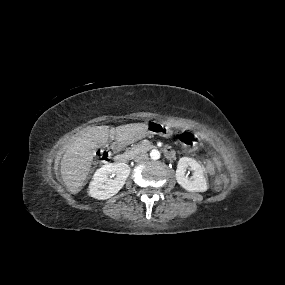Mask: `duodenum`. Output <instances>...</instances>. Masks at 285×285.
Wrapping results in <instances>:
<instances>
[{
  "label": "duodenum",
  "mask_w": 285,
  "mask_h": 285,
  "mask_svg": "<svg viewBox=\"0 0 285 285\" xmlns=\"http://www.w3.org/2000/svg\"><path fill=\"white\" fill-rule=\"evenodd\" d=\"M123 144L122 141H116L114 143L115 159L118 163H125L129 159V155L122 152ZM163 151L166 158L173 159L175 157V152L172 149L165 148Z\"/></svg>",
  "instance_id": "1"
}]
</instances>
